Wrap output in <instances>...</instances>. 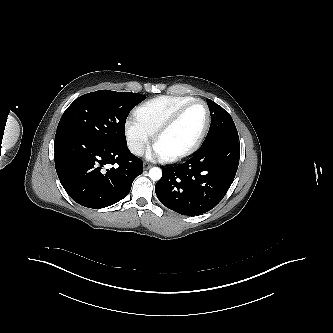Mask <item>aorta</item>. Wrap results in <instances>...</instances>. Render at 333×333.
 <instances>
[{"instance_id":"obj_1","label":"aorta","mask_w":333,"mask_h":333,"mask_svg":"<svg viewBox=\"0 0 333 333\" xmlns=\"http://www.w3.org/2000/svg\"><path fill=\"white\" fill-rule=\"evenodd\" d=\"M149 177L153 181H158L162 177V171L158 167H153L149 170Z\"/></svg>"}]
</instances>
